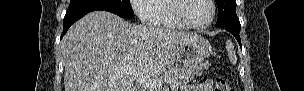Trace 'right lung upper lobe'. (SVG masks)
<instances>
[{
	"label": "right lung upper lobe",
	"instance_id": "1",
	"mask_svg": "<svg viewBox=\"0 0 304 91\" xmlns=\"http://www.w3.org/2000/svg\"><path fill=\"white\" fill-rule=\"evenodd\" d=\"M75 1H77V0H71V2H70V3L75 2Z\"/></svg>",
	"mask_w": 304,
	"mask_h": 91
}]
</instances>
